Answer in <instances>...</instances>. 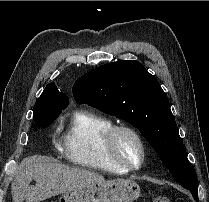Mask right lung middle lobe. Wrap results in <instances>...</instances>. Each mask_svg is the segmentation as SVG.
<instances>
[{
    "mask_svg": "<svg viewBox=\"0 0 209 202\" xmlns=\"http://www.w3.org/2000/svg\"><path fill=\"white\" fill-rule=\"evenodd\" d=\"M49 100V95H43L38 98L34 105L33 120L38 126H49L65 109L51 105Z\"/></svg>",
    "mask_w": 209,
    "mask_h": 202,
    "instance_id": "right-lung-middle-lobe-1",
    "label": "right lung middle lobe"
}]
</instances>
